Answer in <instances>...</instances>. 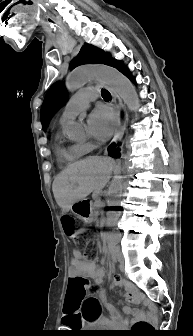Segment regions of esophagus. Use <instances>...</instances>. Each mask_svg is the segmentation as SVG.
Returning <instances> with one entry per match:
<instances>
[{
	"instance_id": "1",
	"label": "esophagus",
	"mask_w": 193,
	"mask_h": 336,
	"mask_svg": "<svg viewBox=\"0 0 193 336\" xmlns=\"http://www.w3.org/2000/svg\"><path fill=\"white\" fill-rule=\"evenodd\" d=\"M102 85L110 92L112 96L111 104L114 107L117 118H118L116 130L114 133V137L112 139V143H117L118 141L122 139L124 132H125V121L122 117L123 111H124L123 103L113 88L103 83Z\"/></svg>"
}]
</instances>
